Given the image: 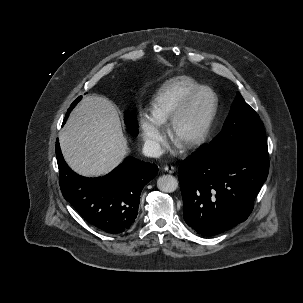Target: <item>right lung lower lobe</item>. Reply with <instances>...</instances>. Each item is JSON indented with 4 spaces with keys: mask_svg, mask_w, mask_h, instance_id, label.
I'll return each mask as SVG.
<instances>
[{
    "mask_svg": "<svg viewBox=\"0 0 303 303\" xmlns=\"http://www.w3.org/2000/svg\"><path fill=\"white\" fill-rule=\"evenodd\" d=\"M56 157L61 192L86 221L110 234L131 228L138 214L141 191L158 172L155 164L127 157L108 175L86 178L66 164L58 139Z\"/></svg>",
    "mask_w": 303,
    "mask_h": 303,
    "instance_id": "98d812e1",
    "label": "right lung lower lobe"
}]
</instances>
